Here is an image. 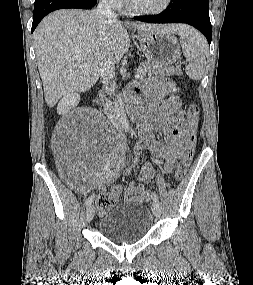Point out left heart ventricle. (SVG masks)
Masks as SVG:
<instances>
[{"mask_svg": "<svg viewBox=\"0 0 253 285\" xmlns=\"http://www.w3.org/2000/svg\"><path fill=\"white\" fill-rule=\"evenodd\" d=\"M133 6L139 9H157L160 8L165 0H131Z\"/></svg>", "mask_w": 253, "mask_h": 285, "instance_id": "obj_1", "label": "left heart ventricle"}]
</instances>
